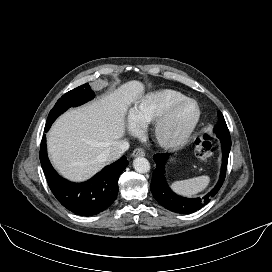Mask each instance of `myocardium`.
Wrapping results in <instances>:
<instances>
[{
	"label": "myocardium",
	"instance_id": "f54148a6",
	"mask_svg": "<svg viewBox=\"0 0 272 272\" xmlns=\"http://www.w3.org/2000/svg\"><path fill=\"white\" fill-rule=\"evenodd\" d=\"M191 103L196 108V115L188 127V129L182 133L181 135L177 137H166L164 135V128L171 118L172 114L175 112L177 108L180 106ZM201 119V109L198 104V102L192 98H183L180 100H177L170 104L163 112L162 114L155 120L153 124V138L156 141V143L161 146L164 149H177L183 145H185L193 136L199 122Z\"/></svg>",
	"mask_w": 272,
	"mask_h": 272
}]
</instances>
